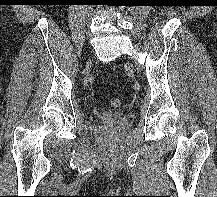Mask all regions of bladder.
Instances as JSON below:
<instances>
[{"label": "bladder", "instance_id": "31cf9c89", "mask_svg": "<svg viewBox=\"0 0 217 197\" xmlns=\"http://www.w3.org/2000/svg\"><path fill=\"white\" fill-rule=\"evenodd\" d=\"M101 116H102L103 118L112 119V114H111V113H103Z\"/></svg>", "mask_w": 217, "mask_h": 197}]
</instances>
